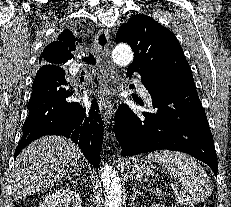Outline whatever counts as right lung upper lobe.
<instances>
[{
	"label": "right lung upper lobe",
	"mask_w": 231,
	"mask_h": 207,
	"mask_svg": "<svg viewBox=\"0 0 231 207\" xmlns=\"http://www.w3.org/2000/svg\"><path fill=\"white\" fill-rule=\"evenodd\" d=\"M58 40L59 41L52 42L45 47L42 57L40 58V62L46 63L44 66L59 67L56 65L65 63L73 57L71 50L75 49V39L71 40L60 34ZM78 41H80V39Z\"/></svg>",
	"instance_id": "cb5924a9"
}]
</instances>
